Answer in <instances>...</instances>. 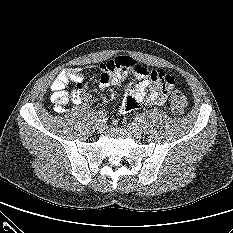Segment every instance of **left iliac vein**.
Returning <instances> with one entry per match:
<instances>
[{
    "instance_id": "obj_1",
    "label": "left iliac vein",
    "mask_w": 233,
    "mask_h": 233,
    "mask_svg": "<svg viewBox=\"0 0 233 233\" xmlns=\"http://www.w3.org/2000/svg\"><path fill=\"white\" fill-rule=\"evenodd\" d=\"M127 127L130 133H132L135 137H140L142 135V129L139 124L129 123Z\"/></svg>"
}]
</instances>
